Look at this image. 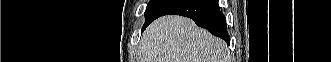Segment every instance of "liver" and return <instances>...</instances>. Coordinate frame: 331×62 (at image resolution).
I'll list each match as a JSON object with an SVG mask.
<instances>
[{
  "label": "liver",
  "mask_w": 331,
  "mask_h": 62,
  "mask_svg": "<svg viewBox=\"0 0 331 62\" xmlns=\"http://www.w3.org/2000/svg\"><path fill=\"white\" fill-rule=\"evenodd\" d=\"M142 62H226L227 44L189 18L169 15L147 28L140 43Z\"/></svg>",
  "instance_id": "1"
}]
</instances>
